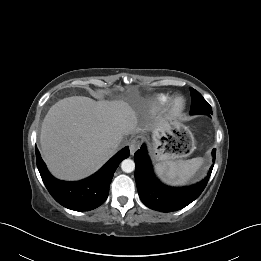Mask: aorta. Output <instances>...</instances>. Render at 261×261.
Wrapping results in <instances>:
<instances>
[{
  "label": "aorta",
  "instance_id": "obj_1",
  "mask_svg": "<svg viewBox=\"0 0 261 261\" xmlns=\"http://www.w3.org/2000/svg\"><path fill=\"white\" fill-rule=\"evenodd\" d=\"M121 169L125 173H131L135 169V163L131 159H125L121 162Z\"/></svg>",
  "mask_w": 261,
  "mask_h": 261
}]
</instances>
